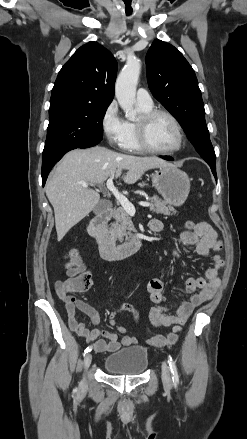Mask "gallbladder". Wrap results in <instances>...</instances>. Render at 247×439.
I'll use <instances>...</instances> for the list:
<instances>
[{
  "label": "gallbladder",
  "mask_w": 247,
  "mask_h": 439,
  "mask_svg": "<svg viewBox=\"0 0 247 439\" xmlns=\"http://www.w3.org/2000/svg\"><path fill=\"white\" fill-rule=\"evenodd\" d=\"M104 209H105L104 204H103L102 202H100V203H98V204L96 205V207L94 208V212H95L96 214H98V213H101Z\"/></svg>",
  "instance_id": "bac80fb5"
}]
</instances>
